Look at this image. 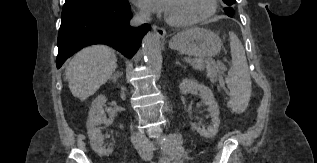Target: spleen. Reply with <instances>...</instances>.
Segmentation results:
<instances>
[{
    "label": "spleen",
    "instance_id": "1",
    "mask_svg": "<svg viewBox=\"0 0 317 163\" xmlns=\"http://www.w3.org/2000/svg\"><path fill=\"white\" fill-rule=\"evenodd\" d=\"M229 38L232 56V65L226 78L230 90L229 106L232 111L241 113L248 105L252 84L243 45L233 32H229Z\"/></svg>",
    "mask_w": 317,
    "mask_h": 163
}]
</instances>
